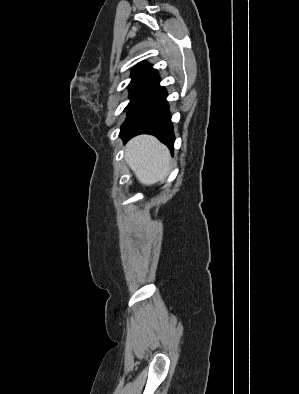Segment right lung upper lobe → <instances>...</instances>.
Returning <instances> with one entry per match:
<instances>
[{"label":"right lung upper lobe","instance_id":"right-lung-upper-lobe-1","mask_svg":"<svg viewBox=\"0 0 299 394\" xmlns=\"http://www.w3.org/2000/svg\"><path fill=\"white\" fill-rule=\"evenodd\" d=\"M132 80L129 87L151 89L159 83V77L148 63H141L137 65L132 71Z\"/></svg>","mask_w":299,"mask_h":394}]
</instances>
